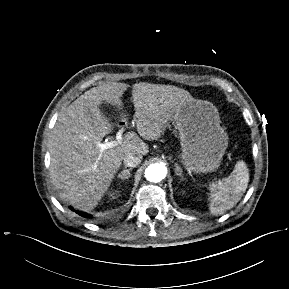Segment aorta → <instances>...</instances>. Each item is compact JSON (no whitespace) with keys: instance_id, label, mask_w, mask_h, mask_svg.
Here are the masks:
<instances>
[{"instance_id":"aorta-1","label":"aorta","mask_w":289,"mask_h":289,"mask_svg":"<svg viewBox=\"0 0 289 289\" xmlns=\"http://www.w3.org/2000/svg\"><path fill=\"white\" fill-rule=\"evenodd\" d=\"M167 169L161 163H154L149 165L144 172L145 178L150 182H160L166 177Z\"/></svg>"}]
</instances>
